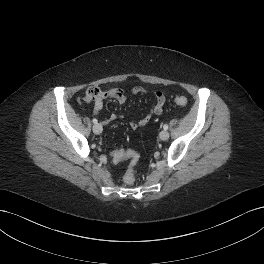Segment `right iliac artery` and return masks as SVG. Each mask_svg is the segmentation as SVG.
<instances>
[{
  "mask_svg": "<svg viewBox=\"0 0 264 264\" xmlns=\"http://www.w3.org/2000/svg\"><path fill=\"white\" fill-rule=\"evenodd\" d=\"M92 121L94 124H97V122H98L97 119H95V118Z\"/></svg>",
  "mask_w": 264,
  "mask_h": 264,
  "instance_id": "82829eb1",
  "label": "right iliac artery"
}]
</instances>
